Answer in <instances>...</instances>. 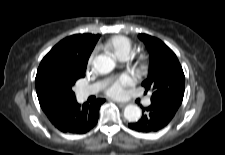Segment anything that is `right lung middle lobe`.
<instances>
[{"mask_svg": "<svg viewBox=\"0 0 225 155\" xmlns=\"http://www.w3.org/2000/svg\"><path fill=\"white\" fill-rule=\"evenodd\" d=\"M85 76V69L81 71H72L58 77V83L61 89L70 95L71 98H75V95L72 91V86L75 82Z\"/></svg>", "mask_w": 225, "mask_h": 155, "instance_id": "obj_1", "label": "right lung middle lobe"}]
</instances>
